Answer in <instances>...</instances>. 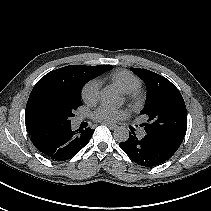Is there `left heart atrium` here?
<instances>
[{
  "mask_svg": "<svg viewBox=\"0 0 211 211\" xmlns=\"http://www.w3.org/2000/svg\"><path fill=\"white\" fill-rule=\"evenodd\" d=\"M123 115V110L108 105H102L94 111L93 118L98 121H113L121 118Z\"/></svg>",
  "mask_w": 211,
  "mask_h": 211,
  "instance_id": "obj_1",
  "label": "left heart atrium"
}]
</instances>
